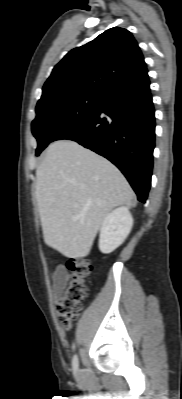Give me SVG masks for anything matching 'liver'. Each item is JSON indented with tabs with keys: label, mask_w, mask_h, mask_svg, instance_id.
Returning <instances> with one entry per match:
<instances>
[{
	"label": "liver",
	"mask_w": 182,
	"mask_h": 399,
	"mask_svg": "<svg viewBox=\"0 0 182 399\" xmlns=\"http://www.w3.org/2000/svg\"><path fill=\"white\" fill-rule=\"evenodd\" d=\"M134 196L112 163L74 141L52 143L36 171L44 241L68 258L87 256L104 218Z\"/></svg>",
	"instance_id": "obj_1"
}]
</instances>
